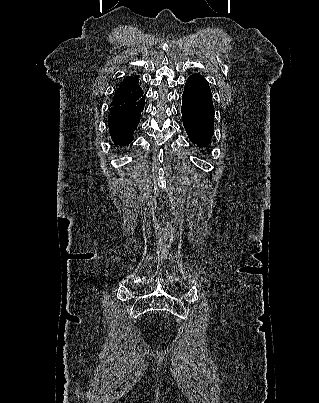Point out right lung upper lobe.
I'll list each match as a JSON object with an SVG mask.
<instances>
[{"label":"right lung upper lobe","instance_id":"1","mask_svg":"<svg viewBox=\"0 0 319 403\" xmlns=\"http://www.w3.org/2000/svg\"><path fill=\"white\" fill-rule=\"evenodd\" d=\"M138 83V75H130L125 77L123 81L120 82L111 105L123 103L124 101L140 94L142 90Z\"/></svg>","mask_w":319,"mask_h":403}]
</instances>
